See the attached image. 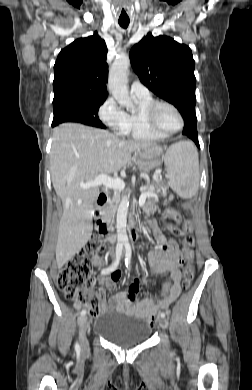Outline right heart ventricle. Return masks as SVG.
Returning <instances> with one entry per match:
<instances>
[{
  "instance_id": "obj_1",
  "label": "right heart ventricle",
  "mask_w": 252,
  "mask_h": 390,
  "mask_svg": "<svg viewBox=\"0 0 252 390\" xmlns=\"http://www.w3.org/2000/svg\"><path fill=\"white\" fill-rule=\"evenodd\" d=\"M135 99L138 109L135 112L127 114V132L125 135L121 136H125L135 141L145 142L164 140L167 136L151 131L144 120L145 110L155 101L153 97L150 95L146 98L135 97Z\"/></svg>"
}]
</instances>
